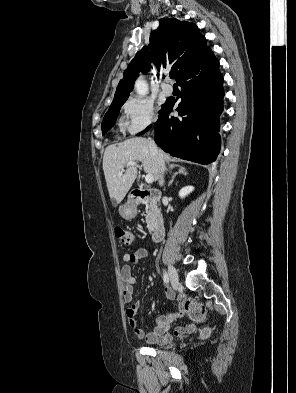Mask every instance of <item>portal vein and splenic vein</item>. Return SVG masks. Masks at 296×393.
<instances>
[{
	"label": "portal vein and splenic vein",
	"mask_w": 296,
	"mask_h": 393,
	"mask_svg": "<svg viewBox=\"0 0 296 393\" xmlns=\"http://www.w3.org/2000/svg\"><path fill=\"white\" fill-rule=\"evenodd\" d=\"M126 165H127V166H137L139 169H141V166L137 165V163L134 162V161H129V162H127ZM145 181H146L147 183H152V182L154 181L153 175L147 174V175L145 176Z\"/></svg>",
	"instance_id": "obj_1"
}]
</instances>
